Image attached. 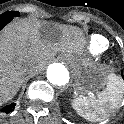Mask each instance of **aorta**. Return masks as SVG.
<instances>
[{"instance_id":"obj_1","label":"aorta","mask_w":124,"mask_h":124,"mask_svg":"<svg viewBox=\"0 0 124 124\" xmlns=\"http://www.w3.org/2000/svg\"><path fill=\"white\" fill-rule=\"evenodd\" d=\"M46 73L47 79L54 85L62 86L69 81V72L61 64H51Z\"/></svg>"}]
</instances>
